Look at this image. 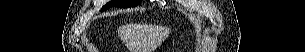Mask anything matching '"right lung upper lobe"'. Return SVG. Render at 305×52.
I'll use <instances>...</instances> for the list:
<instances>
[{"instance_id":"1","label":"right lung upper lobe","mask_w":305,"mask_h":52,"mask_svg":"<svg viewBox=\"0 0 305 52\" xmlns=\"http://www.w3.org/2000/svg\"><path fill=\"white\" fill-rule=\"evenodd\" d=\"M128 1H141V0H128Z\"/></svg>"}]
</instances>
